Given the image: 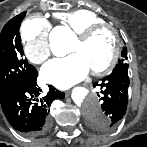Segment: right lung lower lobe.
<instances>
[{"instance_id":"98d812e1","label":"right lung lower lobe","mask_w":147,"mask_h":147,"mask_svg":"<svg viewBox=\"0 0 147 147\" xmlns=\"http://www.w3.org/2000/svg\"><path fill=\"white\" fill-rule=\"evenodd\" d=\"M37 76L0 90L6 119L15 130L27 136H38L48 129L51 102L65 97L64 92L49 86L47 95L39 99L41 89L36 83Z\"/></svg>"}]
</instances>
